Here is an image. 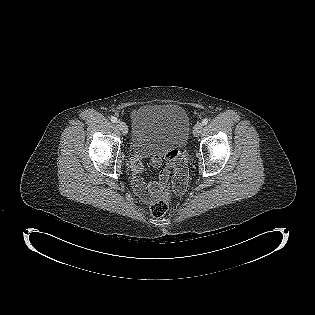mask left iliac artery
<instances>
[{"label":"left iliac artery","mask_w":315,"mask_h":315,"mask_svg":"<svg viewBox=\"0 0 315 315\" xmlns=\"http://www.w3.org/2000/svg\"><path fill=\"white\" fill-rule=\"evenodd\" d=\"M208 121H209V120H208L207 118H204V119L202 120V124H203V125H206V124L208 123Z\"/></svg>","instance_id":"1"}]
</instances>
